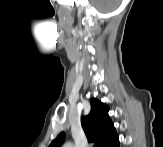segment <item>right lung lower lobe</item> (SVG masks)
<instances>
[{
    "label": "right lung lower lobe",
    "instance_id": "98d812e1",
    "mask_svg": "<svg viewBox=\"0 0 163 147\" xmlns=\"http://www.w3.org/2000/svg\"><path fill=\"white\" fill-rule=\"evenodd\" d=\"M109 147H119V138L117 137Z\"/></svg>",
    "mask_w": 163,
    "mask_h": 147
}]
</instances>
